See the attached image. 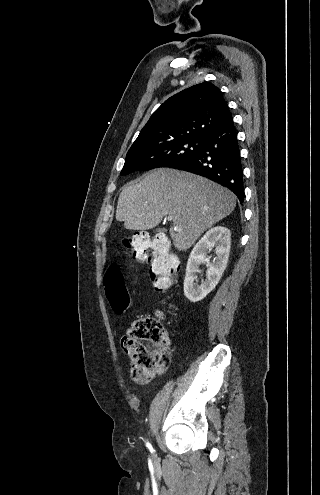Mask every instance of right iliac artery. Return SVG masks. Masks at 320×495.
I'll return each instance as SVG.
<instances>
[{"mask_svg": "<svg viewBox=\"0 0 320 495\" xmlns=\"http://www.w3.org/2000/svg\"><path fill=\"white\" fill-rule=\"evenodd\" d=\"M146 447H148L149 449H152L151 444L149 442L146 443Z\"/></svg>", "mask_w": 320, "mask_h": 495, "instance_id": "right-iliac-artery-1", "label": "right iliac artery"}]
</instances>
